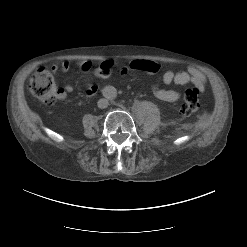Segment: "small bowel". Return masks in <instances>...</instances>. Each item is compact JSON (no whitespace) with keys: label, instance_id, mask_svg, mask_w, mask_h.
Returning <instances> with one entry per match:
<instances>
[{"label":"small bowel","instance_id":"obj_1","mask_svg":"<svg viewBox=\"0 0 247 247\" xmlns=\"http://www.w3.org/2000/svg\"><path fill=\"white\" fill-rule=\"evenodd\" d=\"M77 67L79 70L87 72L91 69V63L89 61H79L77 63ZM51 68L55 73L58 71L66 72L70 68V65L68 62H63L60 65L55 64ZM159 69L160 66L156 62L134 60L129 64V66L120 69V73L125 74L130 70H140L154 74L157 73ZM161 80L166 85H186L188 83H192L200 91H203L207 85L206 76L195 67H189L186 71L181 72L166 71L162 74ZM73 90L74 88L72 85H65L64 89L59 92V97L64 98L67 93H71ZM151 90L154 96L162 101L174 103L180 99V93L175 90L164 89L158 85H153ZM96 93L97 87L94 85H91L86 89V94L88 96H93Z\"/></svg>","mask_w":247,"mask_h":247}]
</instances>
